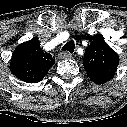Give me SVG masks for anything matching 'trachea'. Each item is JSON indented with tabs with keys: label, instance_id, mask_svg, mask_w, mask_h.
Returning <instances> with one entry per match:
<instances>
[{
	"label": "trachea",
	"instance_id": "3493384b",
	"mask_svg": "<svg viewBox=\"0 0 127 127\" xmlns=\"http://www.w3.org/2000/svg\"><path fill=\"white\" fill-rule=\"evenodd\" d=\"M75 49V43L73 40L68 41L63 47L62 50L73 53Z\"/></svg>",
	"mask_w": 127,
	"mask_h": 127
}]
</instances>
